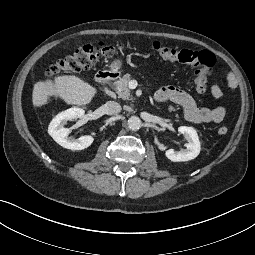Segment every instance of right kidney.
<instances>
[{"instance_id": "ca27d5eb", "label": "right kidney", "mask_w": 255, "mask_h": 255, "mask_svg": "<svg viewBox=\"0 0 255 255\" xmlns=\"http://www.w3.org/2000/svg\"><path fill=\"white\" fill-rule=\"evenodd\" d=\"M85 111L82 108H70L58 115L51 121L48 127L49 135L62 147L71 150H83L88 148L94 141L91 135L82 136L77 140H69V128H64L63 125L66 121H71L77 118L84 117Z\"/></svg>"}]
</instances>
